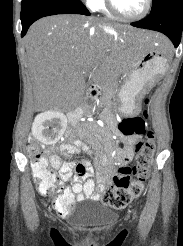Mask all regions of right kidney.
Segmentation results:
<instances>
[{
	"label": "right kidney",
	"mask_w": 183,
	"mask_h": 246,
	"mask_svg": "<svg viewBox=\"0 0 183 246\" xmlns=\"http://www.w3.org/2000/svg\"><path fill=\"white\" fill-rule=\"evenodd\" d=\"M67 127L65 115L59 111H47L36 116L32 125V134L46 145L56 143Z\"/></svg>",
	"instance_id": "obj_1"
}]
</instances>
